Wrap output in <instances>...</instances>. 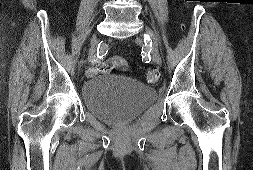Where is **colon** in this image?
Segmentation results:
<instances>
[{"mask_svg":"<svg viewBox=\"0 0 253 170\" xmlns=\"http://www.w3.org/2000/svg\"><path fill=\"white\" fill-rule=\"evenodd\" d=\"M126 62L124 59L119 58L118 61H114L112 63H102L99 68L102 70H109L113 68H126ZM145 78L149 83H156L159 80V73L156 70H148L145 74Z\"/></svg>","mask_w":253,"mask_h":170,"instance_id":"5ec220e1","label":"colon"}]
</instances>
